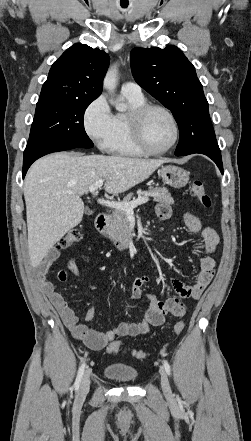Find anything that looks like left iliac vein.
<instances>
[{
	"mask_svg": "<svg viewBox=\"0 0 251 441\" xmlns=\"http://www.w3.org/2000/svg\"><path fill=\"white\" fill-rule=\"evenodd\" d=\"M160 376H161V387H162L164 395L166 397H171L172 391L170 388L169 379H168L167 373L165 372V370L163 368L160 369Z\"/></svg>",
	"mask_w": 251,
	"mask_h": 441,
	"instance_id": "4c4485c4",
	"label": "left iliac vein"
}]
</instances>
